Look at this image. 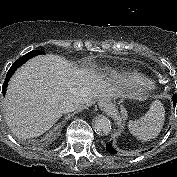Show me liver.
<instances>
[{
  "instance_id": "1",
  "label": "liver",
  "mask_w": 177,
  "mask_h": 177,
  "mask_svg": "<svg viewBox=\"0 0 177 177\" xmlns=\"http://www.w3.org/2000/svg\"><path fill=\"white\" fill-rule=\"evenodd\" d=\"M120 96L95 71L47 54L32 58L14 73L7 88L4 117L16 136L34 138L58 121L60 104L66 99L76 98L80 108H86L92 99Z\"/></svg>"
}]
</instances>
